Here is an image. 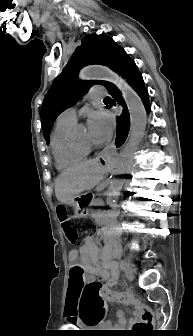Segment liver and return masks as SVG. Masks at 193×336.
<instances>
[{
  "label": "liver",
  "mask_w": 193,
  "mask_h": 336,
  "mask_svg": "<svg viewBox=\"0 0 193 336\" xmlns=\"http://www.w3.org/2000/svg\"><path fill=\"white\" fill-rule=\"evenodd\" d=\"M109 167L110 160L102 165L100 159L95 158L68 168L55 181L56 198L61 203L71 204L74 197L97 186Z\"/></svg>",
  "instance_id": "1"
}]
</instances>
